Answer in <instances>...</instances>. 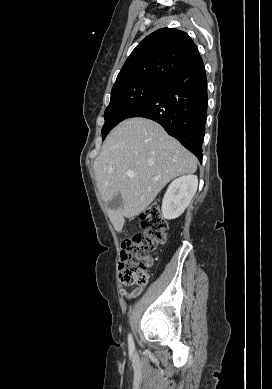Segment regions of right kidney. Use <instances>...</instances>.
<instances>
[{
    "label": "right kidney",
    "mask_w": 272,
    "mask_h": 389,
    "mask_svg": "<svg viewBox=\"0 0 272 389\" xmlns=\"http://www.w3.org/2000/svg\"><path fill=\"white\" fill-rule=\"evenodd\" d=\"M198 187L196 175H184L171 182L163 201L162 214L165 219L178 218L189 205Z\"/></svg>",
    "instance_id": "ca27d5eb"
}]
</instances>
